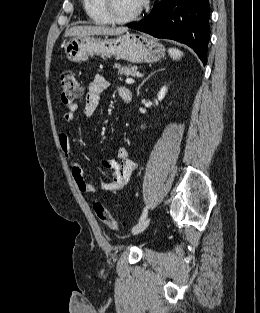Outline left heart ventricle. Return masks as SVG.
<instances>
[{
  "mask_svg": "<svg viewBox=\"0 0 260 313\" xmlns=\"http://www.w3.org/2000/svg\"><path fill=\"white\" fill-rule=\"evenodd\" d=\"M114 1V10L118 16H128L135 12L141 2L140 0H113Z\"/></svg>",
  "mask_w": 260,
  "mask_h": 313,
  "instance_id": "1",
  "label": "left heart ventricle"
}]
</instances>
